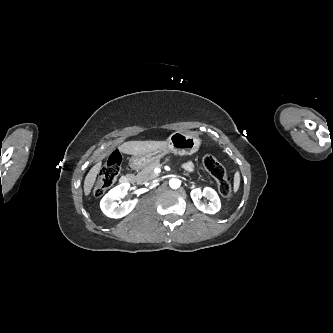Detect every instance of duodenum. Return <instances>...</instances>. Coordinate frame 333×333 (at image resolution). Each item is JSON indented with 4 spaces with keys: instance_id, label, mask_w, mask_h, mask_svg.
<instances>
[{
    "instance_id": "obj_1",
    "label": "duodenum",
    "mask_w": 333,
    "mask_h": 333,
    "mask_svg": "<svg viewBox=\"0 0 333 333\" xmlns=\"http://www.w3.org/2000/svg\"><path fill=\"white\" fill-rule=\"evenodd\" d=\"M133 180H134V176H133L132 174H126V175H123V176L120 178V182H121L122 184L131 183Z\"/></svg>"
}]
</instances>
